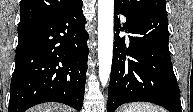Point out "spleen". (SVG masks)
I'll return each instance as SVG.
<instances>
[{
  "instance_id": "spleen-1",
  "label": "spleen",
  "mask_w": 193,
  "mask_h": 112,
  "mask_svg": "<svg viewBox=\"0 0 193 112\" xmlns=\"http://www.w3.org/2000/svg\"><path fill=\"white\" fill-rule=\"evenodd\" d=\"M123 112H164V110L147 103H131Z\"/></svg>"
}]
</instances>
